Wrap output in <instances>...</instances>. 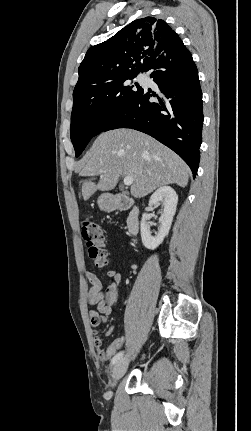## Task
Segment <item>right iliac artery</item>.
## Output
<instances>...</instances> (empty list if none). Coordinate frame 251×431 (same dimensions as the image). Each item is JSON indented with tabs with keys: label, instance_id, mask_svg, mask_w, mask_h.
I'll list each match as a JSON object with an SVG mask.
<instances>
[{
	"label": "right iliac artery",
	"instance_id": "1",
	"mask_svg": "<svg viewBox=\"0 0 251 431\" xmlns=\"http://www.w3.org/2000/svg\"><path fill=\"white\" fill-rule=\"evenodd\" d=\"M123 356V351L118 352L111 360V364L117 363L120 358Z\"/></svg>",
	"mask_w": 251,
	"mask_h": 431
}]
</instances>
